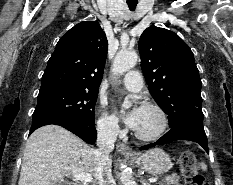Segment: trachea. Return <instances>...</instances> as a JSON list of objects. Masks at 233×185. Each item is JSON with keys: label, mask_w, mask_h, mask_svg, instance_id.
Masks as SVG:
<instances>
[{"label": "trachea", "mask_w": 233, "mask_h": 185, "mask_svg": "<svg viewBox=\"0 0 233 185\" xmlns=\"http://www.w3.org/2000/svg\"><path fill=\"white\" fill-rule=\"evenodd\" d=\"M137 3H128L129 9L131 11L135 10Z\"/></svg>", "instance_id": "1"}]
</instances>
